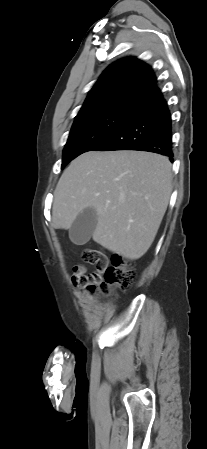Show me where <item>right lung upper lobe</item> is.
Here are the masks:
<instances>
[{
    "instance_id": "right-lung-upper-lobe-1",
    "label": "right lung upper lobe",
    "mask_w": 207,
    "mask_h": 449,
    "mask_svg": "<svg viewBox=\"0 0 207 449\" xmlns=\"http://www.w3.org/2000/svg\"><path fill=\"white\" fill-rule=\"evenodd\" d=\"M152 69L128 57L111 64L90 90L76 117L122 109L136 112L163 97Z\"/></svg>"
}]
</instances>
